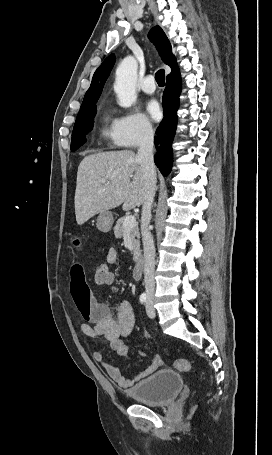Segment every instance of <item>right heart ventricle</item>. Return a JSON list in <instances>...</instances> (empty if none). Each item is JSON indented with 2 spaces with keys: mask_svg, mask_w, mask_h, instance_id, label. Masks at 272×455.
<instances>
[{
  "mask_svg": "<svg viewBox=\"0 0 272 455\" xmlns=\"http://www.w3.org/2000/svg\"><path fill=\"white\" fill-rule=\"evenodd\" d=\"M102 136L109 141L111 144H116L114 129H113V122H110V119L107 115L103 116L102 122Z\"/></svg>",
  "mask_w": 272,
  "mask_h": 455,
  "instance_id": "e07e8e85",
  "label": "right heart ventricle"
}]
</instances>
